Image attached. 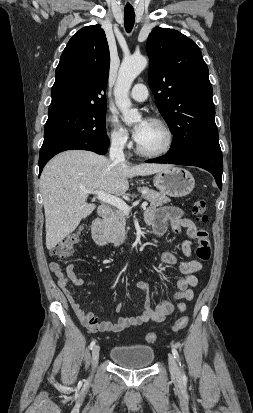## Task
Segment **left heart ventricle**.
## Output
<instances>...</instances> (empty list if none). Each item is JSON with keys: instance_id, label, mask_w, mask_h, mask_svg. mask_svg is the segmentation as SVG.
I'll list each match as a JSON object with an SVG mask.
<instances>
[{"instance_id": "obj_1", "label": "left heart ventricle", "mask_w": 253, "mask_h": 413, "mask_svg": "<svg viewBox=\"0 0 253 413\" xmlns=\"http://www.w3.org/2000/svg\"><path fill=\"white\" fill-rule=\"evenodd\" d=\"M165 142L166 135L164 131L157 124L150 121L138 144L146 151H156L161 149Z\"/></svg>"}]
</instances>
